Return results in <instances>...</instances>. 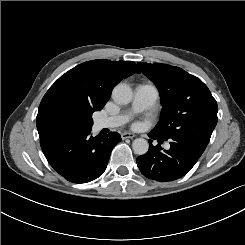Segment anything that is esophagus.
<instances>
[{"label":"esophagus","instance_id":"34e87169","mask_svg":"<svg viewBox=\"0 0 245 245\" xmlns=\"http://www.w3.org/2000/svg\"><path fill=\"white\" fill-rule=\"evenodd\" d=\"M134 137H136V135L133 134V133H130V132H124V133L121 134V138L122 139L134 138Z\"/></svg>","mask_w":245,"mask_h":245}]
</instances>
